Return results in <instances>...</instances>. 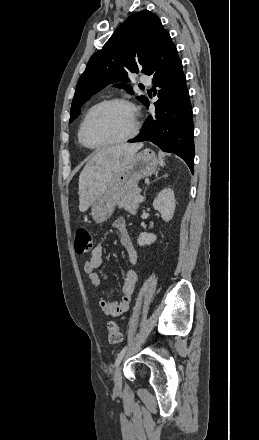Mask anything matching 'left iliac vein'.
<instances>
[{"instance_id": "left-iliac-vein-1", "label": "left iliac vein", "mask_w": 259, "mask_h": 440, "mask_svg": "<svg viewBox=\"0 0 259 440\" xmlns=\"http://www.w3.org/2000/svg\"><path fill=\"white\" fill-rule=\"evenodd\" d=\"M114 384L117 390L121 389L122 386V376H121V365L117 366L114 374Z\"/></svg>"}]
</instances>
